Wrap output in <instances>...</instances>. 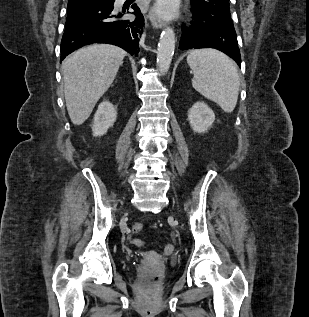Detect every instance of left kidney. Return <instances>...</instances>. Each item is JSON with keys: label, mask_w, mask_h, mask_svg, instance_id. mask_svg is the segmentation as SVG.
I'll list each match as a JSON object with an SVG mask.
<instances>
[{"label": "left kidney", "mask_w": 309, "mask_h": 317, "mask_svg": "<svg viewBox=\"0 0 309 317\" xmlns=\"http://www.w3.org/2000/svg\"><path fill=\"white\" fill-rule=\"evenodd\" d=\"M188 120L194 132L204 133L213 124L215 115L204 102H196L188 111Z\"/></svg>", "instance_id": "1"}]
</instances>
